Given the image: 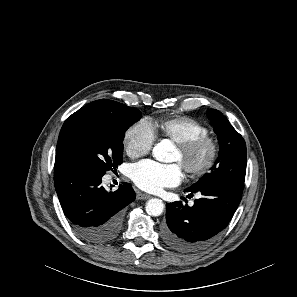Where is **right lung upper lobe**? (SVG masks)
Segmentation results:
<instances>
[{"instance_id":"1","label":"right lung upper lobe","mask_w":297,"mask_h":297,"mask_svg":"<svg viewBox=\"0 0 297 297\" xmlns=\"http://www.w3.org/2000/svg\"><path fill=\"white\" fill-rule=\"evenodd\" d=\"M119 104L112 100H96L82 107L71 116L85 114L114 120L119 117Z\"/></svg>"}]
</instances>
